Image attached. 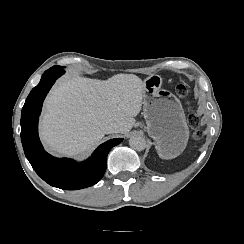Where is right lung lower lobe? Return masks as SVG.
<instances>
[{
	"label": "right lung lower lobe",
	"instance_id": "obj_1",
	"mask_svg": "<svg viewBox=\"0 0 244 244\" xmlns=\"http://www.w3.org/2000/svg\"><path fill=\"white\" fill-rule=\"evenodd\" d=\"M63 73L61 66L51 67L28 95L21 114V141L27 159L44 181L60 189L77 190L92 186L103 177L109 151L123 139H111L103 143L87 161L81 163L55 158L43 149L38 137V118L44 98Z\"/></svg>",
	"mask_w": 244,
	"mask_h": 244
}]
</instances>
